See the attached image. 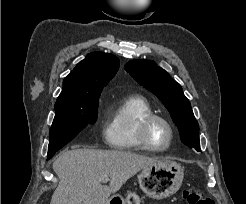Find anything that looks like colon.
<instances>
[{
	"mask_svg": "<svg viewBox=\"0 0 246 204\" xmlns=\"http://www.w3.org/2000/svg\"><path fill=\"white\" fill-rule=\"evenodd\" d=\"M183 198L188 204H215L210 197L194 188L184 190Z\"/></svg>",
	"mask_w": 246,
	"mask_h": 204,
	"instance_id": "colon-1",
	"label": "colon"
}]
</instances>
